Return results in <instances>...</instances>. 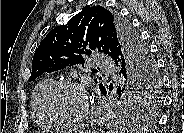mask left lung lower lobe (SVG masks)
Masks as SVG:
<instances>
[{"label":"left lung lower lobe","instance_id":"0a47b994","mask_svg":"<svg viewBox=\"0 0 184 133\" xmlns=\"http://www.w3.org/2000/svg\"><path fill=\"white\" fill-rule=\"evenodd\" d=\"M118 70H119V72H120L121 69H118ZM106 93H107L106 90L102 91V94L106 95ZM127 116H128V115H127ZM129 117H130V119L132 120V119L136 118L137 116H133V115H132V116H129Z\"/></svg>","mask_w":184,"mask_h":133}]
</instances>
